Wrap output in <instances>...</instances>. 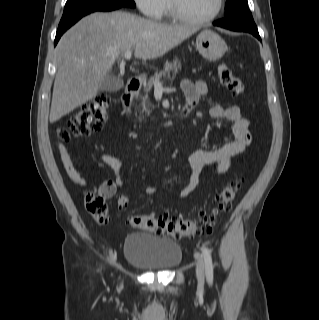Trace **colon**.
Listing matches in <instances>:
<instances>
[{"instance_id":"1","label":"colon","mask_w":319,"mask_h":320,"mask_svg":"<svg viewBox=\"0 0 319 320\" xmlns=\"http://www.w3.org/2000/svg\"><path fill=\"white\" fill-rule=\"evenodd\" d=\"M218 77L221 85L233 94L239 95L244 91L242 80L234 75L225 64L219 66ZM109 105L108 95H96L81 106L66 126L58 130V136L63 140H69L73 137L88 136L100 130L108 119ZM240 185V181L228 183L215 196V207L212 213L202 214L197 219H174L165 215H132L128 217L127 222L134 228L174 238L209 234L215 224L216 216L230 207ZM113 189V184L106 182L103 184L102 192H87L85 195V208L98 223H104L108 220L105 197L111 195ZM128 204V198L123 197L120 206L126 207Z\"/></svg>"}]
</instances>
